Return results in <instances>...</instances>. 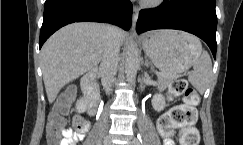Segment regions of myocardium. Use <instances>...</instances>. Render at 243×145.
<instances>
[{
  "label": "myocardium",
  "mask_w": 243,
  "mask_h": 145,
  "mask_svg": "<svg viewBox=\"0 0 243 145\" xmlns=\"http://www.w3.org/2000/svg\"><path fill=\"white\" fill-rule=\"evenodd\" d=\"M146 8H157L164 4L165 0H141Z\"/></svg>",
  "instance_id": "f54148a6"
}]
</instances>
